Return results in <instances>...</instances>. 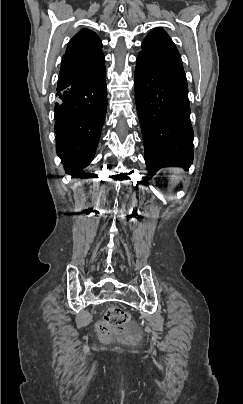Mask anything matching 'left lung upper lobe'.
<instances>
[{"label":"left lung upper lobe","instance_id":"left-lung-upper-lobe-1","mask_svg":"<svg viewBox=\"0 0 243 404\" xmlns=\"http://www.w3.org/2000/svg\"><path fill=\"white\" fill-rule=\"evenodd\" d=\"M152 61L175 68L183 69L180 54L168 34L161 28H155L142 42L139 53Z\"/></svg>","mask_w":243,"mask_h":404}]
</instances>
